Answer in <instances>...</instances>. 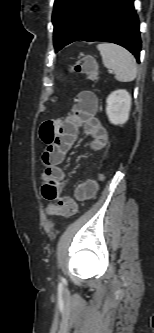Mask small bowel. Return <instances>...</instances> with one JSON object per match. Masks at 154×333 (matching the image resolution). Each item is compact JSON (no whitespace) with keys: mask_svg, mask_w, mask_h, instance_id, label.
Wrapping results in <instances>:
<instances>
[{"mask_svg":"<svg viewBox=\"0 0 154 333\" xmlns=\"http://www.w3.org/2000/svg\"><path fill=\"white\" fill-rule=\"evenodd\" d=\"M98 99L91 91H81L74 99L71 113L64 119L46 120L40 127V138L46 144L42 155L44 169L42 178V196L49 201L57 199L63 187L65 174L60 164L76 140L79 129L90 138V148L103 150L109 140L108 132L96 117ZM96 190L92 180L78 186L75 196L79 200L91 197Z\"/></svg>","mask_w":154,"mask_h":333,"instance_id":"obj_1","label":"small bowel"}]
</instances>
